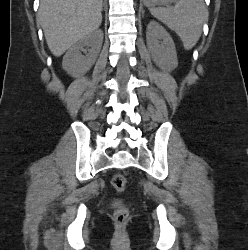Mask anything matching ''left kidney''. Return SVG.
<instances>
[{"label":"left kidney","instance_id":"obj_1","mask_svg":"<svg viewBox=\"0 0 248 250\" xmlns=\"http://www.w3.org/2000/svg\"><path fill=\"white\" fill-rule=\"evenodd\" d=\"M146 40L148 51L158 67L171 72L178 66L173 39L164 27L154 20L147 26Z\"/></svg>","mask_w":248,"mask_h":250}]
</instances>
